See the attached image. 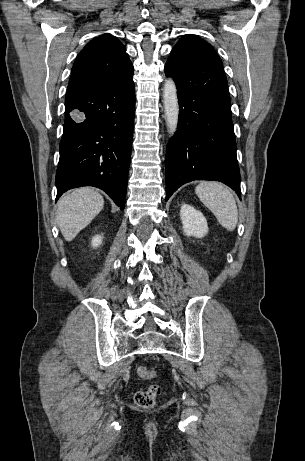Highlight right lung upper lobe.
I'll use <instances>...</instances> for the list:
<instances>
[{"mask_svg": "<svg viewBox=\"0 0 305 461\" xmlns=\"http://www.w3.org/2000/svg\"><path fill=\"white\" fill-rule=\"evenodd\" d=\"M124 45L111 34L91 40L75 60L68 92L110 85L133 74Z\"/></svg>", "mask_w": 305, "mask_h": 461, "instance_id": "1", "label": "right lung upper lobe"}]
</instances>
